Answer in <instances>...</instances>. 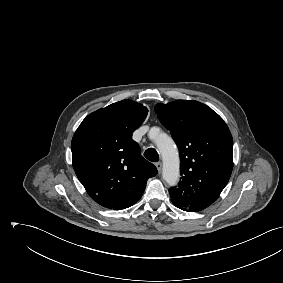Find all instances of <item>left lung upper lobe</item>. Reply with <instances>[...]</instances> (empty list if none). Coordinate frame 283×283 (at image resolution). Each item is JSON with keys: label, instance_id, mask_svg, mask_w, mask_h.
<instances>
[{"label": "left lung upper lobe", "instance_id": "1", "mask_svg": "<svg viewBox=\"0 0 283 283\" xmlns=\"http://www.w3.org/2000/svg\"><path fill=\"white\" fill-rule=\"evenodd\" d=\"M180 154L181 180L171 201L188 211L210 206L226 186L233 168V139L223 119L198 101L177 100L155 107Z\"/></svg>", "mask_w": 283, "mask_h": 283}]
</instances>
